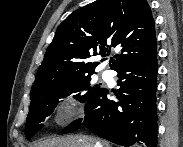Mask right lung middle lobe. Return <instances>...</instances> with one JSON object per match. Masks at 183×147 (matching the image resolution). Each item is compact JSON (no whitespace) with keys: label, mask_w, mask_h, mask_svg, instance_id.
Here are the masks:
<instances>
[{"label":"right lung middle lobe","mask_w":183,"mask_h":147,"mask_svg":"<svg viewBox=\"0 0 183 147\" xmlns=\"http://www.w3.org/2000/svg\"><path fill=\"white\" fill-rule=\"evenodd\" d=\"M91 75L69 79H60L44 87L31 91V105L27 116L25 135L30 139L43 128V123L59 103V99L72 93L80 102H87L99 89L100 85L91 82Z\"/></svg>","instance_id":"1"}]
</instances>
